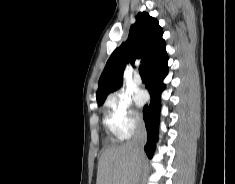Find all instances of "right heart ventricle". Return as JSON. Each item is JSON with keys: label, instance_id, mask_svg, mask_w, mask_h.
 I'll use <instances>...</instances> for the list:
<instances>
[{"label": "right heart ventricle", "instance_id": "right-heart-ventricle-1", "mask_svg": "<svg viewBox=\"0 0 235 184\" xmlns=\"http://www.w3.org/2000/svg\"><path fill=\"white\" fill-rule=\"evenodd\" d=\"M119 148L120 145L110 138V145L108 151L106 152V157H111L112 155L116 154Z\"/></svg>", "mask_w": 235, "mask_h": 184}]
</instances>
